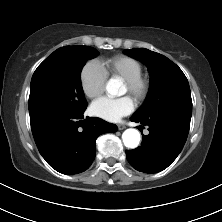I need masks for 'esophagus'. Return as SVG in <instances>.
I'll return each instance as SVG.
<instances>
[{
    "label": "esophagus",
    "mask_w": 222,
    "mask_h": 222,
    "mask_svg": "<svg viewBox=\"0 0 222 222\" xmlns=\"http://www.w3.org/2000/svg\"><path fill=\"white\" fill-rule=\"evenodd\" d=\"M117 127L119 130L125 129V126L123 124H117Z\"/></svg>",
    "instance_id": "esophagus-1"
}]
</instances>
